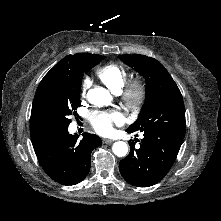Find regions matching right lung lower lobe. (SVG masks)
<instances>
[{
  "mask_svg": "<svg viewBox=\"0 0 221 221\" xmlns=\"http://www.w3.org/2000/svg\"><path fill=\"white\" fill-rule=\"evenodd\" d=\"M38 161L43 170L56 182L75 185L90 171L91 152L102 144L100 137L83 133L71 135L67 129L47 133L32 139Z\"/></svg>",
  "mask_w": 221,
  "mask_h": 221,
  "instance_id": "1",
  "label": "right lung lower lobe"
}]
</instances>
